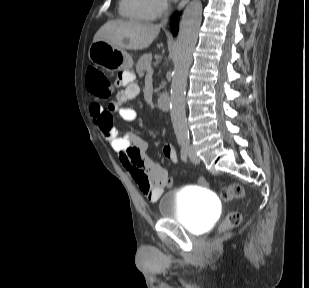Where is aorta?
<instances>
[{
    "label": "aorta",
    "mask_w": 309,
    "mask_h": 288,
    "mask_svg": "<svg viewBox=\"0 0 309 288\" xmlns=\"http://www.w3.org/2000/svg\"><path fill=\"white\" fill-rule=\"evenodd\" d=\"M202 9L200 0H193L186 6L176 42L171 82L170 116L178 140H185L188 137L185 112L186 83L192 52L198 39Z\"/></svg>",
    "instance_id": "aorta-1"
}]
</instances>
